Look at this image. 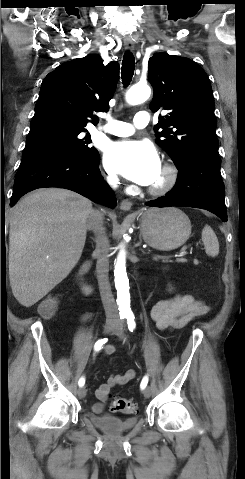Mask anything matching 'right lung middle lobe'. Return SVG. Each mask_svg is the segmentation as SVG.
<instances>
[{"label": "right lung middle lobe", "instance_id": "1", "mask_svg": "<svg viewBox=\"0 0 245 479\" xmlns=\"http://www.w3.org/2000/svg\"><path fill=\"white\" fill-rule=\"evenodd\" d=\"M86 129H75L64 125H45L30 128L26 140L23 158L46 151H66L87 157L93 161L99 160V153L91 143L90 135L82 137Z\"/></svg>", "mask_w": 245, "mask_h": 479}]
</instances>
